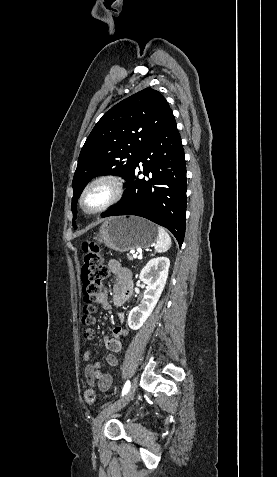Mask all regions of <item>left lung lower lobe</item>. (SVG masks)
Listing matches in <instances>:
<instances>
[{
    "label": "left lung lower lobe",
    "instance_id": "0a47b994",
    "mask_svg": "<svg viewBox=\"0 0 277 477\" xmlns=\"http://www.w3.org/2000/svg\"><path fill=\"white\" fill-rule=\"evenodd\" d=\"M141 173L148 179H139ZM125 185L124 201L101 217L147 218L170 230L181 246L186 225L187 183L184 150L174 117L141 150Z\"/></svg>",
    "mask_w": 277,
    "mask_h": 477
}]
</instances>
